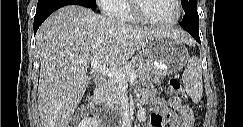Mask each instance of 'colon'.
<instances>
[{
    "mask_svg": "<svg viewBox=\"0 0 243 127\" xmlns=\"http://www.w3.org/2000/svg\"><path fill=\"white\" fill-rule=\"evenodd\" d=\"M169 92L173 97L183 98V92L181 89V82L178 78L173 77L169 80Z\"/></svg>",
    "mask_w": 243,
    "mask_h": 127,
    "instance_id": "obj_1",
    "label": "colon"
}]
</instances>
